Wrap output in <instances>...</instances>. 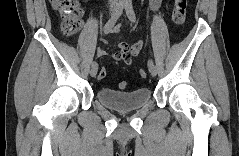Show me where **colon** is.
<instances>
[{"label":"colon","mask_w":239,"mask_h":156,"mask_svg":"<svg viewBox=\"0 0 239 156\" xmlns=\"http://www.w3.org/2000/svg\"><path fill=\"white\" fill-rule=\"evenodd\" d=\"M53 6L61 19V30L65 35H74L80 29L81 17L83 14L80 4L75 0H54ZM187 0H175L172 12V20L176 25H182L186 19ZM141 78L147 77V71H139ZM107 76V71L102 68L98 74V79L103 80ZM120 89H126L128 83L122 81L119 84Z\"/></svg>","instance_id":"1"}]
</instances>
